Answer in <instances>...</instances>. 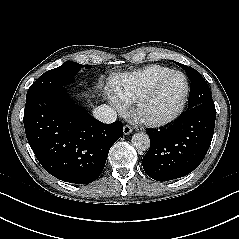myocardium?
<instances>
[{
	"instance_id": "f54148a6",
	"label": "myocardium",
	"mask_w": 239,
	"mask_h": 239,
	"mask_svg": "<svg viewBox=\"0 0 239 239\" xmlns=\"http://www.w3.org/2000/svg\"><path fill=\"white\" fill-rule=\"evenodd\" d=\"M173 76H180L184 81V90L176 107L169 114L162 117H148L144 115V107L150 97L156 92L161 84ZM189 91L190 86L186 75L180 71H170L154 80L153 83L141 94V96L135 102L132 111L133 117L138 123L147 127L157 128L169 125L176 121L184 112Z\"/></svg>"
}]
</instances>
